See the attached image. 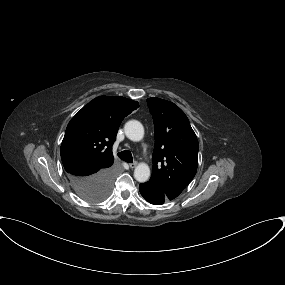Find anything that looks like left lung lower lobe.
<instances>
[{
    "instance_id": "1",
    "label": "left lung lower lobe",
    "mask_w": 285,
    "mask_h": 285,
    "mask_svg": "<svg viewBox=\"0 0 285 285\" xmlns=\"http://www.w3.org/2000/svg\"><path fill=\"white\" fill-rule=\"evenodd\" d=\"M139 190L143 198L151 204L162 205L172 198L165 193L160 184L149 180L139 185Z\"/></svg>"
}]
</instances>
